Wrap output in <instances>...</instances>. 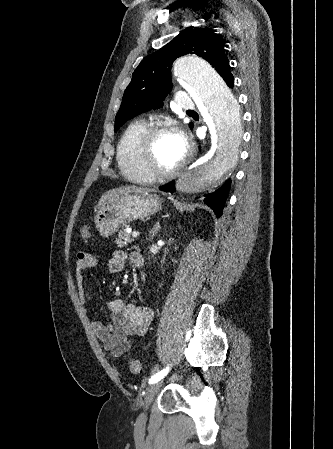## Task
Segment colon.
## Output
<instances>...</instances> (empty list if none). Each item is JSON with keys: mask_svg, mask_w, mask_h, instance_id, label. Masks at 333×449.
Here are the masks:
<instances>
[{"mask_svg": "<svg viewBox=\"0 0 333 449\" xmlns=\"http://www.w3.org/2000/svg\"><path fill=\"white\" fill-rule=\"evenodd\" d=\"M91 235V227L89 225H84L80 230V237L83 240H87ZM129 369L133 374H139L141 372V364L136 359H131L129 361Z\"/></svg>", "mask_w": 333, "mask_h": 449, "instance_id": "5ec220e1", "label": "colon"}]
</instances>
